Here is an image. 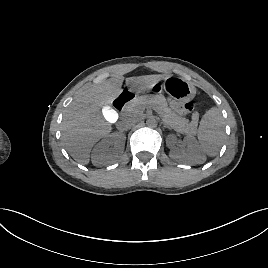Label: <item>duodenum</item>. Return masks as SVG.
Returning <instances> with one entry per match:
<instances>
[{"label":"duodenum","mask_w":268,"mask_h":268,"mask_svg":"<svg viewBox=\"0 0 268 268\" xmlns=\"http://www.w3.org/2000/svg\"><path fill=\"white\" fill-rule=\"evenodd\" d=\"M134 97V94L130 91H123L122 93H120L114 100V107L117 110H122L125 105L132 100Z\"/></svg>","instance_id":"obj_1"}]
</instances>
